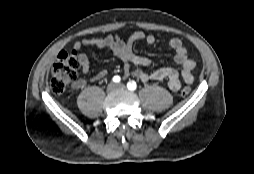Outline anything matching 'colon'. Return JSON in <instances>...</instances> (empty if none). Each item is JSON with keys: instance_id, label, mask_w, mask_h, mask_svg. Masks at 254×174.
<instances>
[{"instance_id": "5ec220e1", "label": "colon", "mask_w": 254, "mask_h": 174, "mask_svg": "<svg viewBox=\"0 0 254 174\" xmlns=\"http://www.w3.org/2000/svg\"><path fill=\"white\" fill-rule=\"evenodd\" d=\"M79 68L76 51H62L56 58L51 71L50 86L54 93L65 91L70 82L76 79ZM191 92L189 87L181 90L183 96Z\"/></svg>"}]
</instances>
